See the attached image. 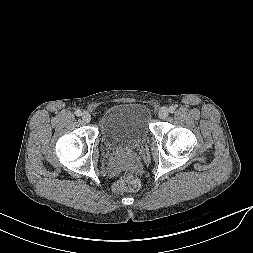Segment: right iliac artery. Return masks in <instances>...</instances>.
I'll list each match as a JSON object with an SVG mask.
<instances>
[{
  "label": "right iliac artery",
  "instance_id": "obj_1",
  "mask_svg": "<svg viewBox=\"0 0 253 253\" xmlns=\"http://www.w3.org/2000/svg\"><path fill=\"white\" fill-rule=\"evenodd\" d=\"M75 114H76V116H81L82 115V113L79 109L75 111Z\"/></svg>",
  "mask_w": 253,
  "mask_h": 253
}]
</instances>
